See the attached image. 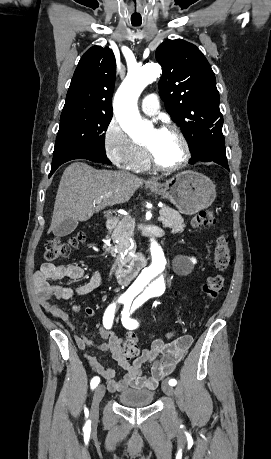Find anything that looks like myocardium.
<instances>
[{
	"label": "myocardium",
	"mask_w": 271,
	"mask_h": 459,
	"mask_svg": "<svg viewBox=\"0 0 271 459\" xmlns=\"http://www.w3.org/2000/svg\"><path fill=\"white\" fill-rule=\"evenodd\" d=\"M162 131H167L173 133L181 142L182 145V155L181 157L174 161V162H165L162 161L154 151L147 145H144L149 160L159 169L164 171H172L178 170L185 167L192 158V148L190 142L185 135V133L181 130L179 126L174 124L173 122L169 121L163 124L160 128Z\"/></svg>",
	"instance_id": "f54148a6"
}]
</instances>
